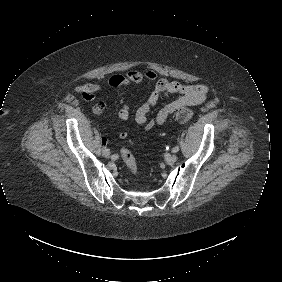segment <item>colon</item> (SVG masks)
Instances as JSON below:
<instances>
[{
  "label": "colon",
  "instance_id": "1",
  "mask_svg": "<svg viewBox=\"0 0 282 282\" xmlns=\"http://www.w3.org/2000/svg\"><path fill=\"white\" fill-rule=\"evenodd\" d=\"M192 116L193 111L188 107L179 108L175 114L176 119L181 122L188 121ZM120 155L126 163L130 173L136 174L138 172V164L132 152L127 148H123L120 150Z\"/></svg>",
  "mask_w": 282,
  "mask_h": 282
}]
</instances>
